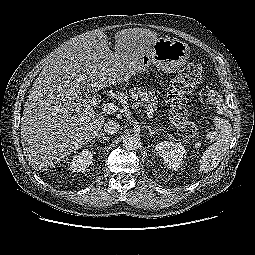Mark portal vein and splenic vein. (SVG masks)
<instances>
[{
    "mask_svg": "<svg viewBox=\"0 0 255 255\" xmlns=\"http://www.w3.org/2000/svg\"><path fill=\"white\" fill-rule=\"evenodd\" d=\"M146 114L148 118L153 117V110L149 107H146ZM102 110L107 114H113L119 110V107L113 103H107L102 106Z\"/></svg>",
    "mask_w": 255,
    "mask_h": 255,
    "instance_id": "portal-vein-and-splenic-vein-1",
    "label": "portal vein and splenic vein"
}]
</instances>
